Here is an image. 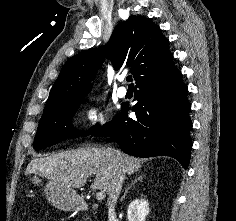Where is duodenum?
Masks as SVG:
<instances>
[{
    "mask_svg": "<svg viewBox=\"0 0 236 221\" xmlns=\"http://www.w3.org/2000/svg\"><path fill=\"white\" fill-rule=\"evenodd\" d=\"M79 210L87 212L90 210V207L87 203H83L82 205H80Z\"/></svg>",
    "mask_w": 236,
    "mask_h": 221,
    "instance_id": "1",
    "label": "duodenum"
}]
</instances>
